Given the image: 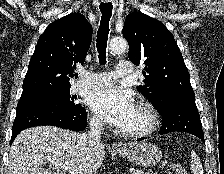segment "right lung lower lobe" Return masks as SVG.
<instances>
[{
    "label": "right lung lower lobe",
    "instance_id": "1",
    "mask_svg": "<svg viewBox=\"0 0 224 174\" xmlns=\"http://www.w3.org/2000/svg\"><path fill=\"white\" fill-rule=\"evenodd\" d=\"M43 125L83 131L87 125L86 110L81 105L65 109L41 99L19 101L10 144L22 130Z\"/></svg>",
    "mask_w": 224,
    "mask_h": 174
}]
</instances>
